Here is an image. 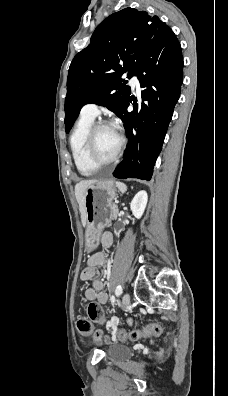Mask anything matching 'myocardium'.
<instances>
[{"instance_id": "1", "label": "myocardium", "mask_w": 228, "mask_h": 396, "mask_svg": "<svg viewBox=\"0 0 228 396\" xmlns=\"http://www.w3.org/2000/svg\"><path fill=\"white\" fill-rule=\"evenodd\" d=\"M106 126H111L116 130V132L119 136V146H118L116 153L113 155V157L111 159H109L107 161H100L96 158L95 153H94L95 137H96V134L99 131V129L106 127ZM124 146H125V138L118 131V129L112 123L105 121V120H101V121L94 123L88 132L86 142H85L86 158H87L88 162L93 167H95L97 169L101 168V167L109 166V165L115 163L120 158V156L123 152Z\"/></svg>"}]
</instances>
